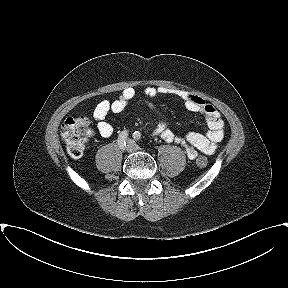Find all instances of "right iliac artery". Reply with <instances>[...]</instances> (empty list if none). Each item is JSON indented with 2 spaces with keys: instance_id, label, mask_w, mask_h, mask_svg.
<instances>
[{
  "instance_id": "1",
  "label": "right iliac artery",
  "mask_w": 288,
  "mask_h": 288,
  "mask_svg": "<svg viewBox=\"0 0 288 288\" xmlns=\"http://www.w3.org/2000/svg\"><path fill=\"white\" fill-rule=\"evenodd\" d=\"M127 137H128V132L127 131H123L120 133V135L118 136V145L121 149L124 148V146H126V140H127Z\"/></svg>"
}]
</instances>
